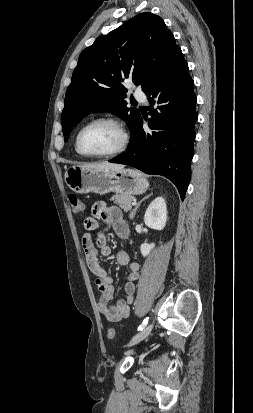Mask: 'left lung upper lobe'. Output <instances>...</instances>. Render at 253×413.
Here are the masks:
<instances>
[{
  "label": "left lung upper lobe",
  "instance_id": "1",
  "mask_svg": "<svg viewBox=\"0 0 253 413\" xmlns=\"http://www.w3.org/2000/svg\"><path fill=\"white\" fill-rule=\"evenodd\" d=\"M179 48L161 17L144 12L84 49L67 88L61 121L65 141L73 127L92 112L122 117L134 139L140 112L128 108L126 79L144 93L163 73Z\"/></svg>",
  "mask_w": 253,
  "mask_h": 413
}]
</instances>
